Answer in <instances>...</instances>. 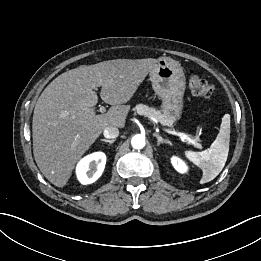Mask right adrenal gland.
<instances>
[{
  "mask_svg": "<svg viewBox=\"0 0 261 261\" xmlns=\"http://www.w3.org/2000/svg\"><path fill=\"white\" fill-rule=\"evenodd\" d=\"M100 140L103 141V142L109 143V144H112L115 141L114 139H112V140L100 139Z\"/></svg>",
  "mask_w": 261,
  "mask_h": 261,
  "instance_id": "2a0ac1e0",
  "label": "right adrenal gland"
}]
</instances>
